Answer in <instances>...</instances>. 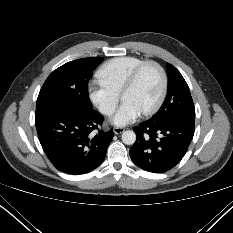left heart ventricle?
<instances>
[{"mask_svg": "<svg viewBox=\"0 0 233 233\" xmlns=\"http://www.w3.org/2000/svg\"><path fill=\"white\" fill-rule=\"evenodd\" d=\"M161 76L154 66L146 67L136 85L123 94V101H129L142 112L151 108L157 101L161 91Z\"/></svg>", "mask_w": 233, "mask_h": 233, "instance_id": "obj_1", "label": "left heart ventricle"}]
</instances>
